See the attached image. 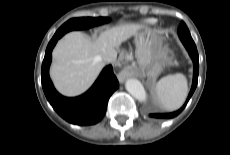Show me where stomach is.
I'll return each mask as SVG.
<instances>
[{"label":"stomach","mask_w":230,"mask_h":155,"mask_svg":"<svg viewBox=\"0 0 230 155\" xmlns=\"http://www.w3.org/2000/svg\"><path fill=\"white\" fill-rule=\"evenodd\" d=\"M162 32L143 28L135 36L136 56L139 60L161 59L164 62L172 63L166 56L165 48L161 41Z\"/></svg>","instance_id":"stomach-1"}]
</instances>
